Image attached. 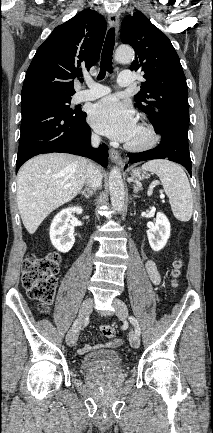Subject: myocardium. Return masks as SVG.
I'll use <instances>...</instances> for the list:
<instances>
[{
  "instance_id": "f54148a6",
  "label": "myocardium",
  "mask_w": 213,
  "mask_h": 433,
  "mask_svg": "<svg viewBox=\"0 0 213 433\" xmlns=\"http://www.w3.org/2000/svg\"><path fill=\"white\" fill-rule=\"evenodd\" d=\"M139 127L145 132L146 140L139 144L125 143L124 147L132 152H142L153 148L159 141V135L155 128L148 122L141 121Z\"/></svg>"
}]
</instances>
